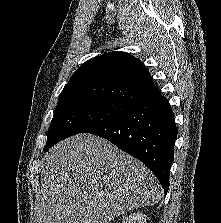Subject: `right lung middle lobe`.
<instances>
[{
	"mask_svg": "<svg viewBox=\"0 0 221 223\" xmlns=\"http://www.w3.org/2000/svg\"><path fill=\"white\" fill-rule=\"evenodd\" d=\"M133 107L134 105L129 103L99 97H82L59 102L44 150L67 137L109 122Z\"/></svg>",
	"mask_w": 221,
	"mask_h": 223,
	"instance_id": "dd1d6c3e",
	"label": "right lung middle lobe"
}]
</instances>
